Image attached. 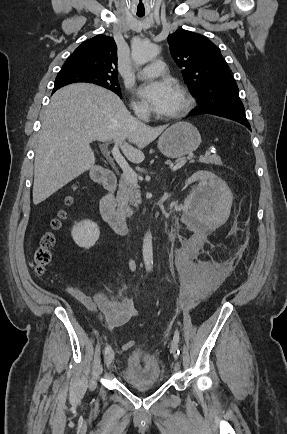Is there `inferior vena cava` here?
Listing matches in <instances>:
<instances>
[{"label":"inferior vena cava","instance_id":"inferior-vena-cava-1","mask_svg":"<svg viewBox=\"0 0 287 434\" xmlns=\"http://www.w3.org/2000/svg\"><path fill=\"white\" fill-rule=\"evenodd\" d=\"M136 115L145 122L149 121V115L146 110H137Z\"/></svg>","mask_w":287,"mask_h":434}]
</instances>
